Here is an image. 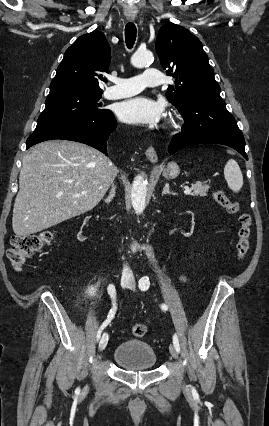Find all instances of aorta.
<instances>
[{
  "mask_svg": "<svg viewBox=\"0 0 269 426\" xmlns=\"http://www.w3.org/2000/svg\"><path fill=\"white\" fill-rule=\"evenodd\" d=\"M153 58L151 51H137L132 56L131 63L134 67L140 68L150 64ZM146 195L147 181L142 175H138L134 178L131 188V201L136 214H141L145 209Z\"/></svg>",
  "mask_w": 269,
  "mask_h": 426,
  "instance_id": "762f6f07",
  "label": "aorta"
}]
</instances>
